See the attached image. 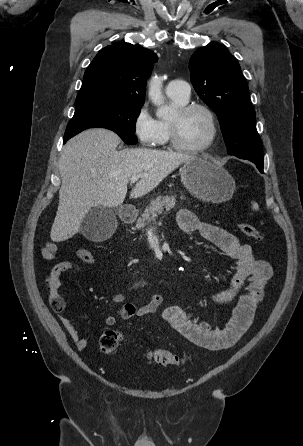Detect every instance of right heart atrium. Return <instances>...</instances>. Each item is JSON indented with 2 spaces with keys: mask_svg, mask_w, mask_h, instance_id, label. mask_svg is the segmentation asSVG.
<instances>
[{
  "mask_svg": "<svg viewBox=\"0 0 303 446\" xmlns=\"http://www.w3.org/2000/svg\"><path fill=\"white\" fill-rule=\"evenodd\" d=\"M134 134L143 146H154L160 138L158 120L153 117L147 103L137 111L133 119Z\"/></svg>",
  "mask_w": 303,
  "mask_h": 446,
  "instance_id": "1",
  "label": "right heart atrium"
}]
</instances>
